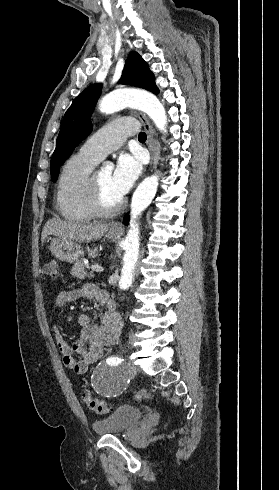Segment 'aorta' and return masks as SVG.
<instances>
[{
  "label": "aorta",
  "instance_id": "obj_1",
  "mask_svg": "<svg viewBox=\"0 0 279 490\" xmlns=\"http://www.w3.org/2000/svg\"><path fill=\"white\" fill-rule=\"evenodd\" d=\"M125 107L137 108L145 112L161 132H166L167 116L164 106L151 93L134 90L114 91L102 98L99 110L111 114ZM108 169H110L108 167ZM158 188V177L152 175L145 178L136 188L131 201V220L128 234L123 242L125 254L119 280L121 289L132 285L134 269L139 255L140 239L138 216L150 205Z\"/></svg>",
  "mask_w": 279,
  "mask_h": 490
}]
</instances>
